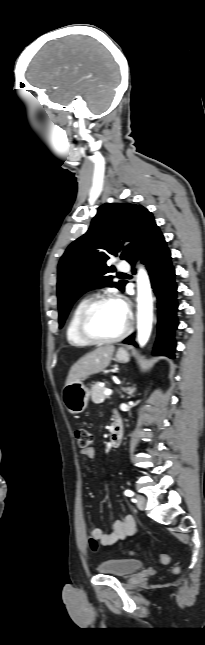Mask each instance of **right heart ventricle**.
I'll list each match as a JSON object with an SVG mask.
<instances>
[{"mask_svg": "<svg viewBox=\"0 0 205 645\" xmlns=\"http://www.w3.org/2000/svg\"><path fill=\"white\" fill-rule=\"evenodd\" d=\"M88 302V299H81L71 311L67 325H66V339L71 346L84 347L91 343L86 341L78 331V318L82 308Z\"/></svg>", "mask_w": 205, "mask_h": 645, "instance_id": "e07e8e85", "label": "right heart ventricle"}]
</instances>
